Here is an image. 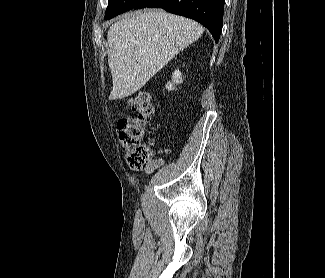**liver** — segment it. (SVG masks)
Segmentation results:
<instances>
[{"label": "liver", "mask_w": 325, "mask_h": 278, "mask_svg": "<svg viewBox=\"0 0 325 278\" xmlns=\"http://www.w3.org/2000/svg\"><path fill=\"white\" fill-rule=\"evenodd\" d=\"M203 32L199 23L161 9L136 11L112 24L107 34L113 81L109 99L139 91Z\"/></svg>", "instance_id": "obj_1"}]
</instances>
